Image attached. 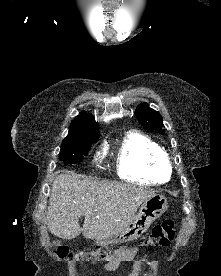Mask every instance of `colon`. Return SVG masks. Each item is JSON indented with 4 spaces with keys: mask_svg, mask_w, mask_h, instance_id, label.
Segmentation results:
<instances>
[{
    "mask_svg": "<svg viewBox=\"0 0 221 276\" xmlns=\"http://www.w3.org/2000/svg\"><path fill=\"white\" fill-rule=\"evenodd\" d=\"M176 231L175 224L172 220H164L155 225L151 231L150 236L145 239L142 244L140 242H133V247H164L169 246L175 239ZM131 244H122L118 246L102 245V249L92 252H72L67 247H58L56 252L57 256L61 259H72L81 262H108L115 256L112 251H129Z\"/></svg>",
    "mask_w": 221,
    "mask_h": 276,
    "instance_id": "1",
    "label": "colon"
}]
</instances>
